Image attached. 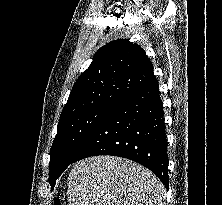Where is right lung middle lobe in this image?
<instances>
[{
	"mask_svg": "<svg viewBox=\"0 0 222 205\" xmlns=\"http://www.w3.org/2000/svg\"><path fill=\"white\" fill-rule=\"evenodd\" d=\"M116 103L95 106L59 121L57 135L50 150L49 183L57 178L72 163V160L105 115Z\"/></svg>",
	"mask_w": 222,
	"mask_h": 205,
	"instance_id": "obj_1",
	"label": "right lung middle lobe"
}]
</instances>
